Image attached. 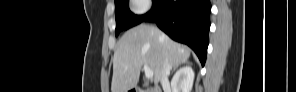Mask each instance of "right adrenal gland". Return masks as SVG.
I'll list each match as a JSON object with an SVG mask.
<instances>
[{
    "label": "right adrenal gland",
    "mask_w": 296,
    "mask_h": 92,
    "mask_svg": "<svg viewBox=\"0 0 296 92\" xmlns=\"http://www.w3.org/2000/svg\"><path fill=\"white\" fill-rule=\"evenodd\" d=\"M184 64H189V62L186 61V62H184ZM176 68H177V67H174L173 71H175Z\"/></svg>",
    "instance_id": "1"
}]
</instances>
